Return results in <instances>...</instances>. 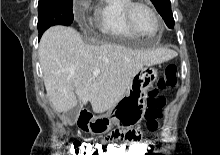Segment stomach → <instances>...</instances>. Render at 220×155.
Masks as SVG:
<instances>
[{
  "label": "stomach",
  "mask_w": 220,
  "mask_h": 155,
  "mask_svg": "<svg viewBox=\"0 0 220 155\" xmlns=\"http://www.w3.org/2000/svg\"><path fill=\"white\" fill-rule=\"evenodd\" d=\"M158 77V72L154 67L146 66L137 72L130 81L127 93L123 96L112 110L92 118L82 130L94 135L105 134L113 124L118 126H135L144 117L146 108V98L149 88Z\"/></svg>",
  "instance_id": "0dacf381"
}]
</instances>
